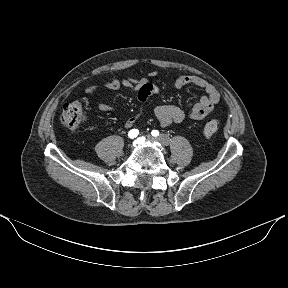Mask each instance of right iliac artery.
<instances>
[{"instance_id": "82829eb1", "label": "right iliac artery", "mask_w": 288, "mask_h": 288, "mask_svg": "<svg viewBox=\"0 0 288 288\" xmlns=\"http://www.w3.org/2000/svg\"><path fill=\"white\" fill-rule=\"evenodd\" d=\"M139 134V131L137 129H132L129 131L128 136L129 138L133 139L135 137H137Z\"/></svg>"}]
</instances>
